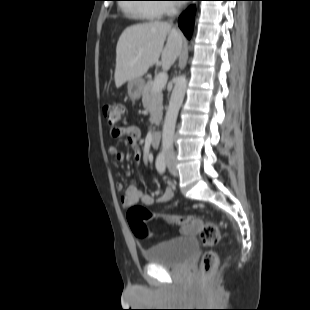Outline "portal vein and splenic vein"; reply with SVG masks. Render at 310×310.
Masks as SVG:
<instances>
[{"instance_id": "18ae733b", "label": "portal vein and splenic vein", "mask_w": 310, "mask_h": 310, "mask_svg": "<svg viewBox=\"0 0 310 310\" xmlns=\"http://www.w3.org/2000/svg\"><path fill=\"white\" fill-rule=\"evenodd\" d=\"M168 75L165 72L159 73L153 82V91H161L167 83Z\"/></svg>"}]
</instances>
